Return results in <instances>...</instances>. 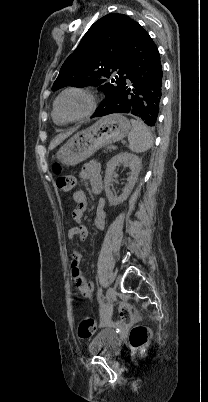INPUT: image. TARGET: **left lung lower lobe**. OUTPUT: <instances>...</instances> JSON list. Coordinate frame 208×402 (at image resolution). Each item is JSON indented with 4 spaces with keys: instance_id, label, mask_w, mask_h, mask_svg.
<instances>
[{
    "instance_id": "obj_1",
    "label": "left lung lower lobe",
    "mask_w": 208,
    "mask_h": 402,
    "mask_svg": "<svg viewBox=\"0 0 208 402\" xmlns=\"http://www.w3.org/2000/svg\"><path fill=\"white\" fill-rule=\"evenodd\" d=\"M126 73L113 99L95 116L128 113L147 125L157 122L163 91L160 54L152 38L134 23L126 50Z\"/></svg>"
}]
</instances>
